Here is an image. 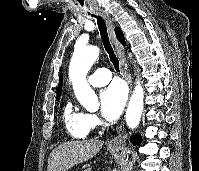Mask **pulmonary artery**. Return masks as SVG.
Wrapping results in <instances>:
<instances>
[{
  "label": "pulmonary artery",
  "mask_w": 199,
  "mask_h": 171,
  "mask_svg": "<svg viewBox=\"0 0 199 171\" xmlns=\"http://www.w3.org/2000/svg\"><path fill=\"white\" fill-rule=\"evenodd\" d=\"M111 80V72L105 68H99L93 72L88 81L92 86L100 87L107 84Z\"/></svg>",
  "instance_id": "pulmonary-artery-1"
}]
</instances>
